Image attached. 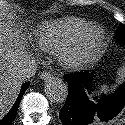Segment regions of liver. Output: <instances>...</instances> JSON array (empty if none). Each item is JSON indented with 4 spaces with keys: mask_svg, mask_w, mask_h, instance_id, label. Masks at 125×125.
I'll return each mask as SVG.
<instances>
[{
    "mask_svg": "<svg viewBox=\"0 0 125 125\" xmlns=\"http://www.w3.org/2000/svg\"><path fill=\"white\" fill-rule=\"evenodd\" d=\"M11 30L0 19V118L14 103L22 84L21 56L12 45Z\"/></svg>",
    "mask_w": 125,
    "mask_h": 125,
    "instance_id": "6515ba94",
    "label": "liver"
}]
</instances>
